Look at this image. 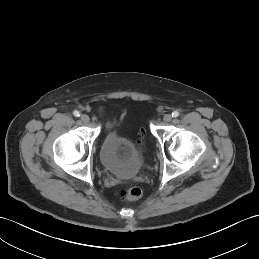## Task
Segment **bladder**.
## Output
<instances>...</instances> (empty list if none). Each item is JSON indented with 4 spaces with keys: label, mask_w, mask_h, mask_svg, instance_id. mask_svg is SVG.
Wrapping results in <instances>:
<instances>
[{
    "label": "bladder",
    "mask_w": 259,
    "mask_h": 259,
    "mask_svg": "<svg viewBox=\"0 0 259 259\" xmlns=\"http://www.w3.org/2000/svg\"><path fill=\"white\" fill-rule=\"evenodd\" d=\"M99 159L107 171L123 178L137 175L143 166V158L134 142L117 129L105 135L100 145Z\"/></svg>",
    "instance_id": "obj_1"
}]
</instances>
